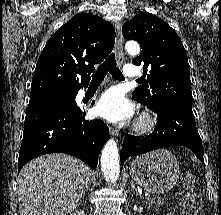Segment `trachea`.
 Returning <instances> with one entry per match:
<instances>
[{"label": "trachea", "mask_w": 221, "mask_h": 215, "mask_svg": "<svg viewBox=\"0 0 221 215\" xmlns=\"http://www.w3.org/2000/svg\"><path fill=\"white\" fill-rule=\"evenodd\" d=\"M110 73L115 79L124 80V76L117 67L115 54L112 53L98 68L97 71L92 74L91 83H101L107 73Z\"/></svg>", "instance_id": "trachea-1"}]
</instances>
